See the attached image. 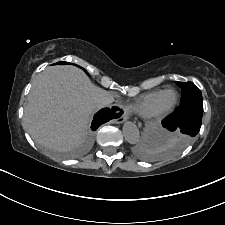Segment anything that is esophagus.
I'll return each instance as SVG.
<instances>
[{"label": "esophagus", "mask_w": 225, "mask_h": 225, "mask_svg": "<svg viewBox=\"0 0 225 225\" xmlns=\"http://www.w3.org/2000/svg\"><path fill=\"white\" fill-rule=\"evenodd\" d=\"M118 107L120 108V111H119L120 116L117 119V122L123 123L124 121H126L128 119V109L123 105H120Z\"/></svg>", "instance_id": "obj_1"}]
</instances>
